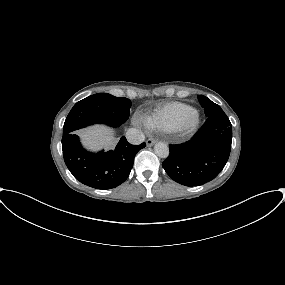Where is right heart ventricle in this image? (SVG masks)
Instances as JSON below:
<instances>
[{
    "instance_id": "right-heart-ventricle-1",
    "label": "right heart ventricle",
    "mask_w": 285,
    "mask_h": 285,
    "mask_svg": "<svg viewBox=\"0 0 285 285\" xmlns=\"http://www.w3.org/2000/svg\"><path fill=\"white\" fill-rule=\"evenodd\" d=\"M193 110L185 103L171 102L155 109L142 122L148 129L172 132L178 130L184 118Z\"/></svg>"
}]
</instances>
